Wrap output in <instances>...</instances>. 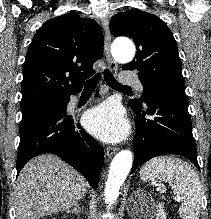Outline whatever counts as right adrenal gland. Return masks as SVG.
I'll list each match as a JSON object with an SVG mask.
<instances>
[{
    "label": "right adrenal gland",
    "mask_w": 211,
    "mask_h": 219,
    "mask_svg": "<svg viewBox=\"0 0 211 219\" xmlns=\"http://www.w3.org/2000/svg\"><path fill=\"white\" fill-rule=\"evenodd\" d=\"M66 213H74L76 215H80L82 213V210H81L79 202L74 204V208L71 210H67Z\"/></svg>",
    "instance_id": "right-adrenal-gland-1"
}]
</instances>
